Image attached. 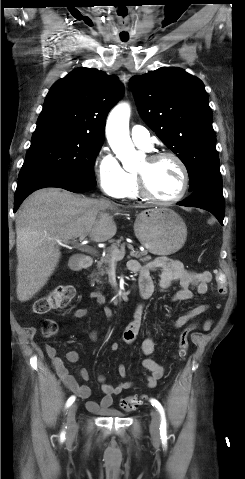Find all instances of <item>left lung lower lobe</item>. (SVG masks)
<instances>
[{
  "mask_svg": "<svg viewBox=\"0 0 245 479\" xmlns=\"http://www.w3.org/2000/svg\"><path fill=\"white\" fill-rule=\"evenodd\" d=\"M177 204L205 209L211 212L220 224L223 225L225 205L221 177L219 176L204 182L193 191L192 196Z\"/></svg>",
  "mask_w": 245,
  "mask_h": 479,
  "instance_id": "0a47b994",
  "label": "left lung lower lobe"
}]
</instances>
